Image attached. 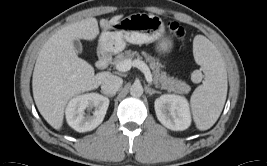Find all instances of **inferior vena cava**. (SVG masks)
<instances>
[{"mask_svg": "<svg viewBox=\"0 0 267 166\" xmlns=\"http://www.w3.org/2000/svg\"><path fill=\"white\" fill-rule=\"evenodd\" d=\"M122 84V78L115 75H109L103 80L101 90L105 95H115Z\"/></svg>", "mask_w": 267, "mask_h": 166, "instance_id": "602c4592", "label": "inferior vena cava"}]
</instances>
